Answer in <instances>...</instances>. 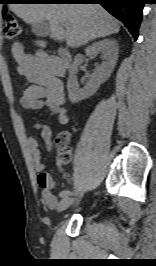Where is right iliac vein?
Returning a JSON list of instances; mask_svg holds the SVG:
<instances>
[{"instance_id": "63e3f726", "label": "right iliac vein", "mask_w": 156, "mask_h": 266, "mask_svg": "<svg viewBox=\"0 0 156 266\" xmlns=\"http://www.w3.org/2000/svg\"><path fill=\"white\" fill-rule=\"evenodd\" d=\"M73 201L74 200L70 197L63 198L58 205V209H57L58 212H62L64 210H66L73 203Z\"/></svg>"}]
</instances>
